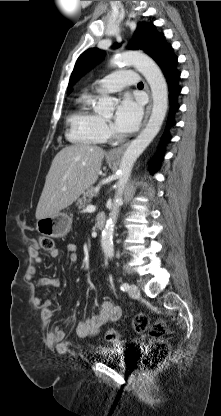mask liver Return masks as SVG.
<instances>
[{
  "label": "liver",
  "mask_w": 221,
  "mask_h": 416,
  "mask_svg": "<svg viewBox=\"0 0 221 416\" xmlns=\"http://www.w3.org/2000/svg\"><path fill=\"white\" fill-rule=\"evenodd\" d=\"M98 146H66L54 157L41 193L36 219L53 216L72 205L98 179L104 158Z\"/></svg>",
  "instance_id": "1"
}]
</instances>
